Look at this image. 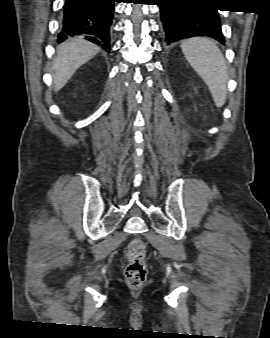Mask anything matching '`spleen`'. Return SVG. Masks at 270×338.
<instances>
[{
	"instance_id": "3e777b00",
	"label": "spleen",
	"mask_w": 270,
	"mask_h": 338,
	"mask_svg": "<svg viewBox=\"0 0 270 338\" xmlns=\"http://www.w3.org/2000/svg\"><path fill=\"white\" fill-rule=\"evenodd\" d=\"M181 49L188 63L208 86L215 105L222 107L227 98L228 71L220 49L206 37L186 39L182 41Z\"/></svg>"
}]
</instances>
